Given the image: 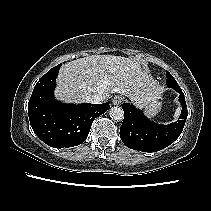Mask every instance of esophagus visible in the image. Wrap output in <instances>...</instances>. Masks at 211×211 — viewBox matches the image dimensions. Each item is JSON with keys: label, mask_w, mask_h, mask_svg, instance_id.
I'll use <instances>...</instances> for the list:
<instances>
[{"label": "esophagus", "mask_w": 211, "mask_h": 211, "mask_svg": "<svg viewBox=\"0 0 211 211\" xmlns=\"http://www.w3.org/2000/svg\"><path fill=\"white\" fill-rule=\"evenodd\" d=\"M112 102H113L114 105L119 106L123 102V97H121V96H115L113 98Z\"/></svg>", "instance_id": "esophagus-1"}]
</instances>
